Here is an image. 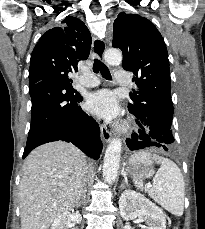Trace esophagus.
Returning <instances> with one entry per match:
<instances>
[{"mask_svg":"<svg viewBox=\"0 0 205 229\" xmlns=\"http://www.w3.org/2000/svg\"><path fill=\"white\" fill-rule=\"evenodd\" d=\"M106 50V44L104 40L99 37H93L92 41V51L93 54L100 60L104 59V52ZM101 137L105 142H109L111 139V132L108 127L104 124L100 126Z\"/></svg>","mask_w":205,"mask_h":229,"instance_id":"obj_1","label":"esophagus"}]
</instances>
